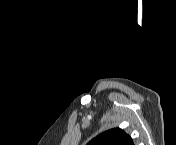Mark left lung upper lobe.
<instances>
[{
  "instance_id": "1",
  "label": "left lung upper lobe",
  "mask_w": 176,
  "mask_h": 145,
  "mask_svg": "<svg viewBox=\"0 0 176 145\" xmlns=\"http://www.w3.org/2000/svg\"><path fill=\"white\" fill-rule=\"evenodd\" d=\"M88 145H134L132 138L122 129L114 128L101 133L92 139Z\"/></svg>"
}]
</instances>
